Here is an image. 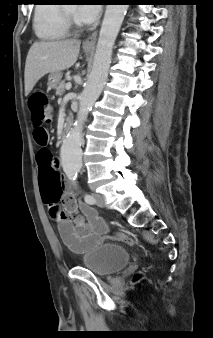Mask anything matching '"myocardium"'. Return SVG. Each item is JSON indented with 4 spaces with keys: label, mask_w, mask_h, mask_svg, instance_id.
<instances>
[{
    "label": "myocardium",
    "mask_w": 213,
    "mask_h": 338,
    "mask_svg": "<svg viewBox=\"0 0 213 338\" xmlns=\"http://www.w3.org/2000/svg\"><path fill=\"white\" fill-rule=\"evenodd\" d=\"M60 6L62 9V24L66 28V30L69 32L71 30H77L82 28V25L75 19V17L67 11V5Z\"/></svg>",
    "instance_id": "obj_1"
}]
</instances>
